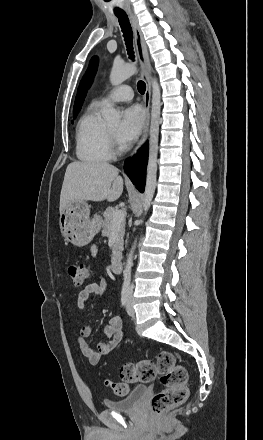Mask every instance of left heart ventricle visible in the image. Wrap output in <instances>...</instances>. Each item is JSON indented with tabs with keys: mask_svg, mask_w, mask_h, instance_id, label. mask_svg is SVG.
Returning <instances> with one entry per match:
<instances>
[{
	"mask_svg": "<svg viewBox=\"0 0 263 440\" xmlns=\"http://www.w3.org/2000/svg\"><path fill=\"white\" fill-rule=\"evenodd\" d=\"M109 129L115 134L118 130V125L117 124L111 125L109 126Z\"/></svg>",
	"mask_w": 263,
	"mask_h": 440,
	"instance_id": "b2bd125f",
	"label": "left heart ventricle"
}]
</instances>
